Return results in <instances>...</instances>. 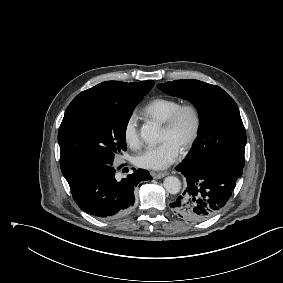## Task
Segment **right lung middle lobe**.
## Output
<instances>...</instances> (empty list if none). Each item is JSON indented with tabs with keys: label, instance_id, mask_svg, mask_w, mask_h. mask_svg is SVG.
Returning a JSON list of instances; mask_svg holds the SVG:
<instances>
[{
	"label": "right lung middle lobe",
	"instance_id": "1",
	"mask_svg": "<svg viewBox=\"0 0 283 283\" xmlns=\"http://www.w3.org/2000/svg\"><path fill=\"white\" fill-rule=\"evenodd\" d=\"M149 91L121 102L70 104L59 128L60 167L65 177L88 166L112 165L126 151V127Z\"/></svg>",
	"mask_w": 283,
	"mask_h": 283
}]
</instances>
